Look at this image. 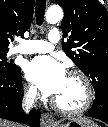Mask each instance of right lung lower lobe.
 <instances>
[{
    "label": "right lung lower lobe",
    "instance_id": "98d812e1",
    "mask_svg": "<svg viewBox=\"0 0 108 127\" xmlns=\"http://www.w3.org/2000/svg\"><path fill=\"white\" fill-rule=\"evenodd\" d=\"M23 95L21 69L13 74L0 71V118L39 127L40 111L32 109L25 115L21 108Z\"/></svg>",
    "mask_w": 108,
    "mask_h": 127
}]
</instances>
